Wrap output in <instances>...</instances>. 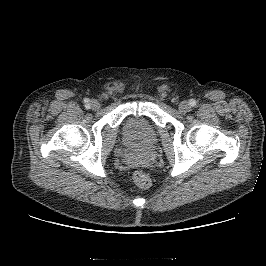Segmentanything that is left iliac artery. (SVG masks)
Instances as JSON below:
<instances>
[{
  "mask_svg": "<svg viewBox=\"0 0 266 266\" xmlns=\"http://www.w3.org/2000/svg\"><path fill=\"white\" fill-rule=\"evenodd\" d=\"M190 105H191V106H195V105H196L195 100H191V101H190Z\"/></svg>",
  "mask_w": 266,
  "mask_h": 266,
  "instance_id": "1",
  "label": "left iliac artery"
}]
</instances>
